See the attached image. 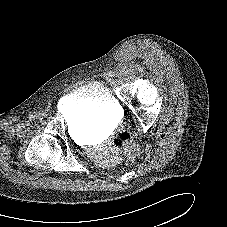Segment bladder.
I'll use <instances>...</instances> for the list:
<instances>
[{
    "instance_id": "bladder-1",
    "label": "bladder",
    "mask_w": 227,
    "mask_h": 227,
    "mask_svg": "<svg viewBox=\"0 0 227 227\" xmlns=\"http://www.w3.org/2000/svg\"><path fill=\"white\" fill-rule=\"evenodd\" d=\"M60 108L66 113L75 112V123L80 129L109 127L121 113L119 102L99 81L89 82L64 95Z\"/></svg>"
}]
</instances>
